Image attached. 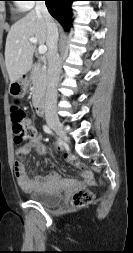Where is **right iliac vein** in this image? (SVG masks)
Here are the masks:
<instances>
[{"mask_svg":"<svg viewBox=\"0 0 133 253\" xmlns=\"http://www.w3.org/2000/svg\"><path fill=\"white\" fill-rule=\"evenodd\" d=\"M48 124L65 142H68L66 132L59 120L50 119L48 120Z\"/></svg>","mask_w":133,"mask_h":253,"instance_id":"obj_1","label":"right iliac vein"}]
</instances>
